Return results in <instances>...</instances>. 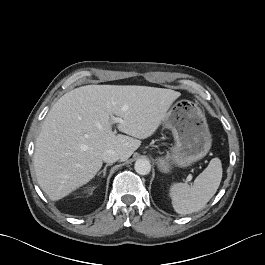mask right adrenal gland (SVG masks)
Masks as SVG:
<instances>
[{"instance_id": "2a0ac1e0", "label": "right adrenal gland", "mask_w": 265, "mask_h": 265, "mask_svg": "<svg viewBox=\"0 0 265 265\" xmlns=\"http://www.w3.org/2000/svg\"><path fill=\"white\" fill-rule=\"evenodd\" d=\"M111 164H106L105 167L103 168L102 171H100L97 176H100L102 174V177L104 178L105 175H106V170H107V167L110 166Z\"/></svg>"}]
</instances>
